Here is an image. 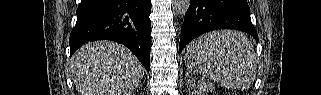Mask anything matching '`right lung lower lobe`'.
Instances as JSON below:
<instances>
[{
    "mask_svg": "<svg viewBox=\"0 0 321 95\" xmlns=\"http://www.w3.org/2000/svg\"><path fill=\"white\" fill-rule=\"evenodd\" d=\"M151 0H82L70 34L71 55L82 45L112 40L127 46L149 72Z\"/></svg>",
    "mask_w": 321,
    "mask_h": 95,
    "instance_id": "98d812e1",
    "label": "right lung lower lobe"
}]
</instances>
